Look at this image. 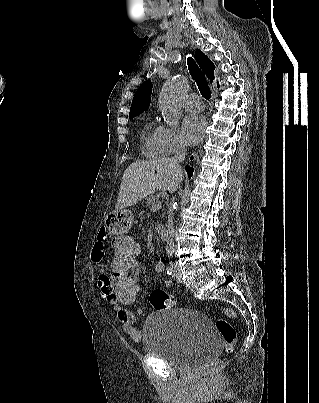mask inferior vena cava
I'll return each instance as SVG.
<instances>
[{
    "mask_svg": "<svg viewBox=\"0 0 319 403\" xmlns=\"http://www.w3.org/2000/svg\"><path fill=\"white\" fill-rule=\"evenodd\" d=\"M186 156V145L183 142H180L175 155L170 159L171 165L175 169H181L180 163L185 160ZM176 188L171 190V193L175 192ZM167 250L173 251L174 250V228H173V221L172 217L169 220V229H168V237H167Z\"/></svg>",
    "mask_w": 319,
    "mask_h": 403,
    "instance_id": "1",
    "label": "inferior vena cava"
}]
</instances>
